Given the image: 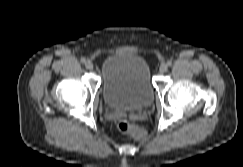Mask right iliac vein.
<instances>
[{
    "label": "right iliac vein",
    "mask_w": 243,
    "mask_h": 167,
    "mask_svg": "<svg viewBox=\"0 0 243 167\" xmlns=\"http://www.w3.org/2000/svg\"><path fill=\"white\" fill-rule=\"evenodd\" d=\"M85 66L87 69L92 70L93 69V63L91 61H87L85 63Z\"/></svg>",
    "instance_id": "1"
}]
</instances>
